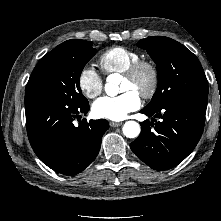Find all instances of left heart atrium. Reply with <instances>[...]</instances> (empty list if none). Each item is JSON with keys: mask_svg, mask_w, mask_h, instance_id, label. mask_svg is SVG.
Segmentation results:
<instances>
[{"mask_svg": "<svg viewBox=\"0 0 221 221\" xmlns=\"http://www.w3.org/2000/svg\"><path fill=\"white\" fill-rule=\"evenodd\" d=\"M141 105L139 94L129 90L118 96H104L92 106L93 114L98 118L119 121L137 110Z\"/></svg>", "mask_w": 221, "mask_h": 221, "instance_id": "1", "label": "left heart atrium"}]
</instances>
